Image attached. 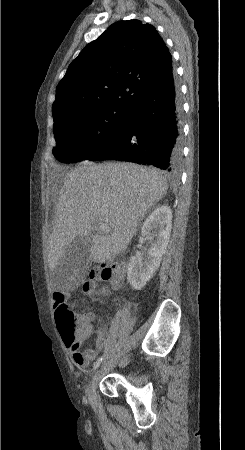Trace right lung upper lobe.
I'll return each mask as SVG.
<instances>
[{
    "instance_id": "cb5924a9",
    "label": "right lung upper lobe",
    "mask_w": 245,
    "mask_h": 450,
    "mask_svg": "<svg viewBox=\"0 0 245 450\" xmlns=\"http://www.w3.org/2000/svg\"><path fill=\"white\" fill-rule=\"evenodd\" d=\"M171 60L154 26L140 20L116 22L69 65L56 88L52 113L131 106L173 70Z\"/></svg>"
}]
</instances>
